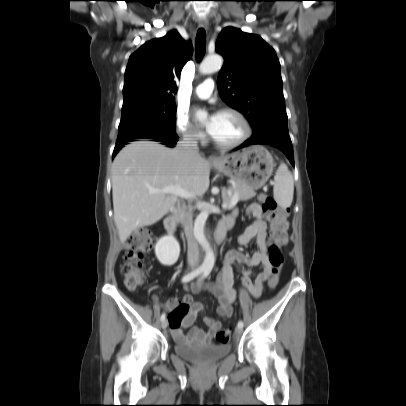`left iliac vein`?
Here are the masks:
<instances>
[{
	"mask_svg": "<svg viewBox=\"0 0 406 406\" xmlns=\"http://www.w3.org/2000/svg\"><path fill=\"white\" fill-rule=\"evenodd\" d=\"M242 331H243V330H242L241 327H236V329H235V333H236L237 335L241 334Z\"/></svg>",
	"mask_w": 406,
	"mask_h": 406,
	"instance_id": "4c4485c4",
	"label": "left iliac vein"
}]
</instances>
